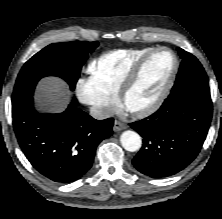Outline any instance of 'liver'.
Segmentation results:
<instances>
[{
    "label": "liver",
    "instance_id": "obj_1",
    "mask_svg": "<svg viewBox=\"0 0 222 219\" xmlns=\"http://www.w3.org/2000/svg\"><path fill=\"white\" fill-rule=\"evenodd\" d=\"M36 96L45 108L54 112L63 110L69 102L65 82L56 77L42 79L37 87Z\"/></svg>",
    "mask_w": 222,
    "mask_h": 219
}]
</instances>
